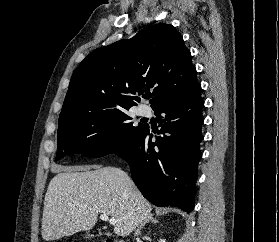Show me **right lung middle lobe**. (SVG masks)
<instances>
[{
    "label": "right lung middle lobe",
    "mask_w": 279,
    "mask_h": 242,
    "mask_svg": "<svg viewBox=\"0 0 279 242\" xmlns=\"http://www.w3.org/2000/svg\"><path fill=\"white\" fill-rule=\"evenodd\" d=\"M131 117L122 112L104 118H86L59 124L56 160L80 153L87 157H102L121 153L146 128L134 126Z\"/></svg>",
    "instance_id": "obj_1"
}]
</instances>
